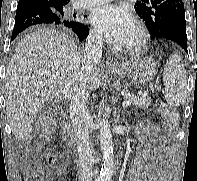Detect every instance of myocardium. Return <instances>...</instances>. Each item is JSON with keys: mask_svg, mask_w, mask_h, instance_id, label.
<instances>
[{"mask_svg": "<svg viewBox=\"0 0 197 181\" xmlns=\"http://www.w3.org/2000/svg\"><path fill=\"white\" fill-rule=\"evenodd\" d=\"M134 28L137 34L136 39L129 44H119L117 48L120 51L126 53H139L146 48L149 41V33L146 27L141 22H136Z\"/></svg>", "mask_w": 197, "mask_h": 181, "instance_id": "1", "label": "myocardium"}]
</instances>
